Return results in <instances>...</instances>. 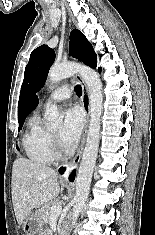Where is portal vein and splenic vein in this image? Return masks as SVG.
Returning <instances> with one entry per match:
<instances>
[{
  "instance_id": "portal-vein-and-splenic-vein-1",
  "label": "portal vein and splenic vein",
  "mask_w": 155,
  "mask_h": 235,
  "mask_svg": "<svg viewBox=\"0 0 155 235\" xmlns=\"http://www.w3.org/2000/svg\"><path fill=\"white\" fill-rule=\"evenodd\" d=\"M61 211H62V206H61V204L59 203V204L55 205V206L52 208V210H51V217L59 216L60 213H61Z\"/></svg>"
}]
</instances>
